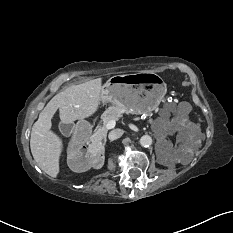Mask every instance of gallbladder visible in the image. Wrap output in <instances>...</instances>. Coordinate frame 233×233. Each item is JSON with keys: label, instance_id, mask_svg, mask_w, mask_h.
Returning a JSON list of instances; mask_svg holds the SVG:
<instances>
[{"label": "gallbladder", "instance_id": "gallbladder-1", "mask_svg": "<svg viewBox=\"0 0 233 233\" xmlns=\"http://www.w3.org/2000/svg\"><path fill=\"white\" fill-rule=\"evenodd\" d=\"M60 131L63 135L69 136L72 133L73 126L71 124L60 123L59 124Z\"/></svg>", "mask_w": 233, "mask_h": 233}]
</instances>
